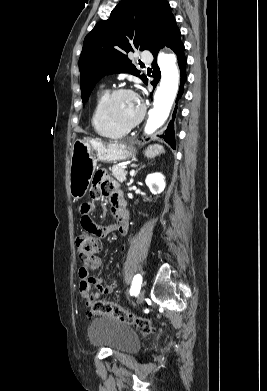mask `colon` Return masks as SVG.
Returning a JSON list of instances; mask_svg holds the SVG:
<instances>
[{
  "label": "colon",
  "mask_w": 267,
  "mask_h": 391,
  "mask_svg": "<svg viewBox=\"0 0 267 391\" xmlns=\"http://www.w3.org/2000/svg\"><path fill=\"white\" fill-rule=\"evenodd\" d=\"M77 255L80 262L88 265L101 249L100 238L88 234H80L75 240ZM108 315L127 325H135L145 332H153L155 328L150 319L139 317L123 309L116 303L97 300L91 304L90 315Z\"/></svg>",
  "instance_id": "colon-1"
}]
</instances>
